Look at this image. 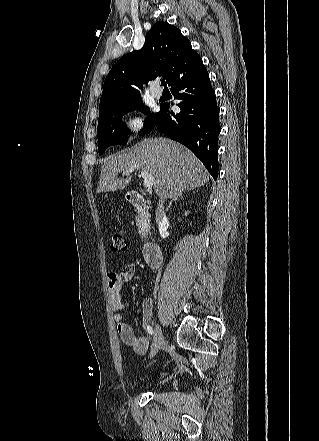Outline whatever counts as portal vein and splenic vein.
I'll list each match as a JSON object with an SVG mask.
<instances>
[{"label": "portal vein and splenic vein", "mask_w": 319, "mask_h": 441, "mask_svg": "<svg viewBox=\"0 0 319 441\" xmlns=\"http://www.w3.org/2000/svg\"><path fill=\"white\" fill-rule=\"evenodd\" d=\"M132 170H125L123 171V174H129ZM139 176L144 179L143 184L145 188H151L154 183V176L147 172L146 170L142 169L139 170Z\"/></svg>", "instance_id": "obj_1"}]
</instances>
